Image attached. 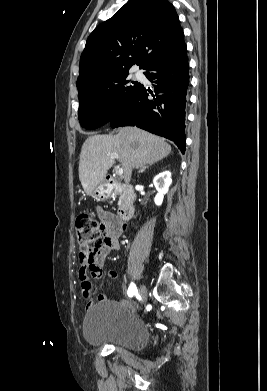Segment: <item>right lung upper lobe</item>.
Returning <instances> with one entry per match:
<instances>
[{
	"label": "right lung upper lobe",
	"instance_id": "right-lung-upper-lobe-1",
	"mask_svg": "<svg viewBox=\"0 0 267 391\" xmlns=\"http://www.w3.org/2000/svg\"><path fill=\"white\" fill-rule=\"evenodd\" d=\"M184 44L174 6L167 0H129L112 18L95 28L87 39L77 79L79 94L98 80L145 69L160 56Z\"/></svg>",
	"mask_w": 267,
	"mask_h": 391
}]
</instances>
